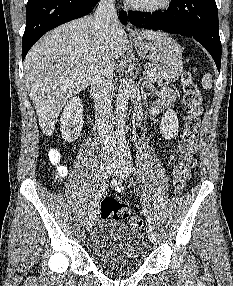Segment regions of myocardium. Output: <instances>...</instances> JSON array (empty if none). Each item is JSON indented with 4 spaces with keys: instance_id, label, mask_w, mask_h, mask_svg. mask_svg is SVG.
I'll use <instances>...</instances> for the list:
<instances>
[{
    "instance_id": "myocardium-1",
    "label": "myocardium",
    "mask_w": 233,
    "mask_h": 286,
    "mask_svg": "<svg viewBox=\"0 0 233 286\" xmlns=\"http://www.w3.org/2000/svg\"><path fill=\"white\" fill-rule=\"evenodd\" d=\"M130 6L140 12H145V13H156L160 12L163 10H166L167 8L170 7L172 0H161L159 3L154 4V5H143L135 2H128Z\"/></svg>"
}]
</instances>
